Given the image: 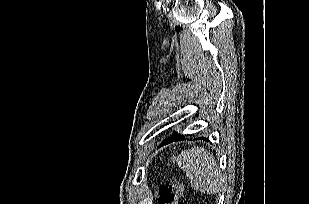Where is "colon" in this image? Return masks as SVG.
<instances>
[{
    "label": "colon",
    "instance_id": "1",
    "mask_svg": "<svg viewBox=\"0 0 309 204\" xmlns=\"http://www.w3.org/2000/svg\"><path fill=\"white\" fill-rule=\"evenodd\" d=\"M183 184L178 179H173L159 191V204H178L183 194Z\"/></svg>",
    "mask_w": 309,
    "mask_h": 204
}]
</instances>
